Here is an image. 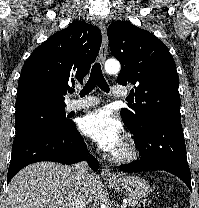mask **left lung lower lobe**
<instances>
[{"mask_svg": "<svg viewBox=\"0 0 199 208\" xmlns=\"http://www.w3.org/2000/svg\"><path fill=\"white\" fill-rule=\"evenodd\" d=\"M135 144L140 160L121 165L122 171L164 170L179 177L191 190V173L181 118L167 117L149 121L143 133L135 138Z\"/></svg>", "mask_w": 199, "mask_h": 208, "instance_id": "0a47b994", "label": "left lung lower lobe"}]
</instances>
